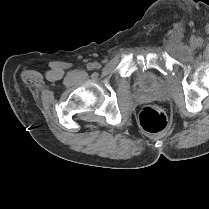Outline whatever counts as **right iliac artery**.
Wrapping results in <instances>:
<instances>
[{"mask_svg": "<svg viewBox=\"0 0 209 209\" xmlns=\"http://www.w3.org/2000/svg\"><path fill=\"white\" fill-rule=\"evenodd\" d=\"M94 67H95V65L94 64H92V63H89L88 65H87V68L88 69H94Z\"/></svg>", "mask_w": 209, "mask_h": 209, "instance_id": "82829eb1", "label": "right iliac artery"}]
</instances>
